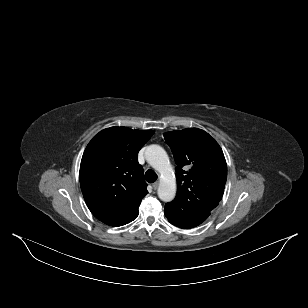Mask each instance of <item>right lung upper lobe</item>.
<instances>
[{
    "mask_svg": "<svg viewBox=\"0 0 308 308\" xmlns=\"http://www.w3.org/2000/svg\"><path fill=\"white\" fill-rule=\"evenodd\" d=\"M153 133L110 127L87 145L79 172L81 190L89 210L103 223L118 227L138 216L148 191L137 156Z\"/></svg>",
    "mask_w": 308,
    "mask_h": 308,
    "instance_id": "obj_1",
    "label": "right lung upper lobe"
}]
</instances>
